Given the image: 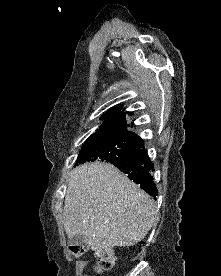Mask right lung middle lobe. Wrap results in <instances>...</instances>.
I'll use <instances>...</instances> for the list:
<instances>
[{
    "instance_id": "1",
    "label": "right lung middle lobe",
    "mask_w": 221,
    "mask_h": 276,
    "mask_svg": "<svg viewBox=\"0 0 221 276\" xmlns=\"http://www.w3.org/2000/svg\"><path fill=\"white\" fill-rule=\"evenodd\" d=\"M142 146L141 138L126 134L89 137L81 149L76 165L95 160L112 163L117 159L127 158Z\"/></svg>"
}]
</instances>
